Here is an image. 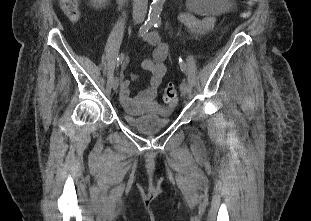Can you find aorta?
<instances>
[{
  "mask_svg": "<svg viewBox=\"0 0 311 221\" xmlns=\"http://www.w3.org/2000/svg\"><path fill=\"white\" fill-rule=\"evenodd\" d=\"M164 0H153L150 10H149V18L150 20H159L160 12H162Z\"/></svg>",
  "mask_w": 311,
  "mask_h": 221,
  "instance_id": "aorta-1",
  "label": "aorta"
}]
</instances>
